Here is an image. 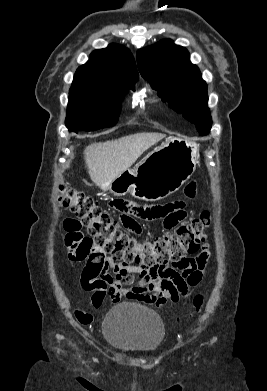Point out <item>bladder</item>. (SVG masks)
I'll return each instance as SVG.
<instances>
[{"mask_svg": "<svg viewBox=\"0 0 267 391\" xmlns=\"http://www.w3.org/2000/svg\"><path fill=\"white\" fill-rule=\"evenodd\" d=\"M105 341L128 352L150 353L164 340L161 318L152 310L134 303H121L107 313L102 329Z\"/></svg>", "mask_w": 267, "mask_h": 391, "instance_id": "obj_1", "label": "bladder"}]
</instances>
